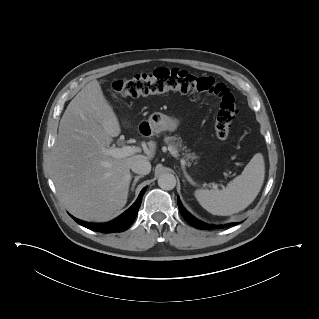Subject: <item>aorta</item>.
Returning <instances> with one entry per match:
<instances>
[{"mask_svg": "<svg viewBox=\"0 0 319 319\" xmlns=\"http://www.w3.org/2000/svg\"><path fill=\"white\" fill-rule=\"evenodd\" d=\"M158 185L163 190H172L176 186V178L171 173H163L158 178Z\"/></svg>", "mask_w": 319, "mask_h": 319, "instance_id": "1", "label": "aorta"}]
</instances>
